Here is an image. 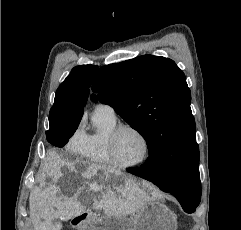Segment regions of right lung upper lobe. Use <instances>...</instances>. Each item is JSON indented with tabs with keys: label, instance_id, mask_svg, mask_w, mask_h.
Instances as JSON below:
<instances>
[{
	"label": "right lung upper lobe",
	"instance_id": "obj_1",
	"mask_svg": "<svg viewBox=\"0 0 241 230\" xmlns=\"http://www.w3.org/2000/svg\"><path fill=\"white\" fill-rule=\"evenodd\" d=\"M98 69L95 65L74 67L56 91L54 105L50 110L49 122H79L89 96V87Z\"/></svg>",
	"mask_w": 241,
	"mask_h": 230
}]
</instances>
